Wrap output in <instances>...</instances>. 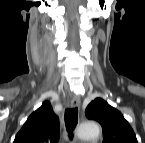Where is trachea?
Masks as SVG:
<instances>
[{
  "mask_svg": "<svg viewBox=\"0 0 145 143\" xmlns=\"http://www.w3.org/2000/svg\"><path fill=\"white\" fill-rule=\"evenodd\" d=\"M78 123V110L77 107L68 109L65 112V125L68 133H72Z\"/></svg>",
  "mask_w": 145,
  "mask_h": 143,
  "instance_id": "obj_1",
  "label": "trachea"
}]
</instances>
